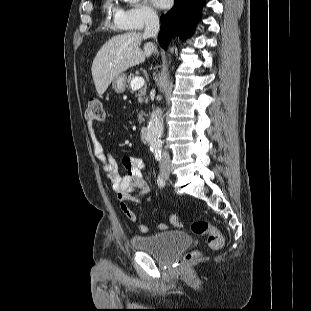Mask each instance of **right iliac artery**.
<instances>
[{"label":"right iliac artery","instance_id":"right-iliac-artery-1","mask_svg":"<svg viewBox=\"0 0 311 311\" xmlns=\"http://www.w3.org/2000/svg\"><path fill=\"white\" fill-rule=\"evenodd\" d=\"M157 183H158V186L160 188H163L165 186V179H164L163 175L160 174L158 176Z\"/></svg>","mask_w":311,"mask_h":311}]
</instances>
